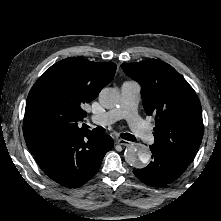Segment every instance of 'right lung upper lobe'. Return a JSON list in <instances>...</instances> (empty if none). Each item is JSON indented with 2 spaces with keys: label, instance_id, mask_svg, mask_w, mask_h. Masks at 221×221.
<instances>
[{
  "label": "right lung upper lobe",
  "instance_id": "cb5924a9",
  "mask_svg": "<svg viewBox=\"0 0 221 221\" xmlns=\"http://www.w3.org/2000/svg\"><path fill=\"white\" fill-rule=\"evenodd\" d=\"M114 63L66 58L46 70L31 88L23 121V133L34 153L70 135L88 131L78 125L86 117L83 106L94 100L111 82Z\"/></svg>",
  "mask_w": 221,
  "mask_h": 221
}]
</instances>
